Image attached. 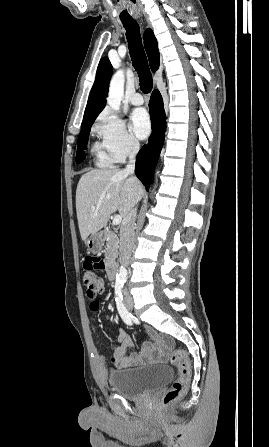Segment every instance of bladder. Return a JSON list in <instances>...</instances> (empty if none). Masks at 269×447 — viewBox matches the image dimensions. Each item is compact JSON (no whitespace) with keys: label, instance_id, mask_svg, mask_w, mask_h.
<instances>
[{"label":"bladder","instance_id":"bladder-1","mask_svg":"<svg viewBox=\"0 0 269 447\" xmlns=\"http://www.w3.org/2000/svg\"><path fill=\"white\" fill-rule=\"evenodd\" d=\"M173 371L167 365H152L120 370L110 374L111 391L124 398H141L171 381Z\"/></svg>","mask_w":269,"mask_h":447}]
</instances>
